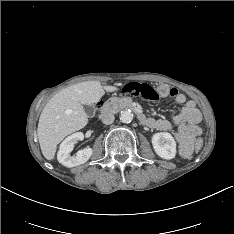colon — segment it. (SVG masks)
<instances>
[{
  "label": "colon",
  "mask_w": 234,
  "mask_h": 234,
  "mask_svg": "<svg viewBox=\"0 0 234 234\" xmlns=\"http://www.w3.org/2000/svg\"><path fill=\"white\" fill-rule=\"evenodd\" d=\"M122 93L128 96H139L146 100H157L161 96H171L172 91L166 85H160L157 88H153L148 84L140 83H128L123 89ZM202 145L201 141L198 140L195 143L196 148H200Z\"/></svg>",
  "instance_id": "1"
}]
</instances>
